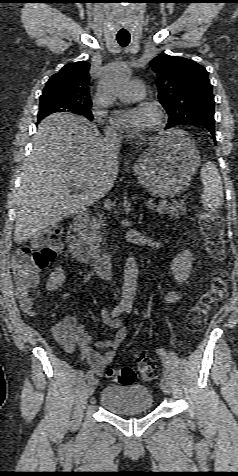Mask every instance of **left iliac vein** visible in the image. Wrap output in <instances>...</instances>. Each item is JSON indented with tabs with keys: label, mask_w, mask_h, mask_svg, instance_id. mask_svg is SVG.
Segmentation results:
<instances>
[{
	"label": "left iliac vein",
	"mask_w": 238,
	"mask_h": 476,
	"mask_svg": "<svg viewBox=\"0 0 238 476\" xmlns=\"http://www.w3.org/2000/svg\"><path fill=\"white\" fill-rule=\"evenodd\" d=\"M160 386L164 394L169 395L171 392L170 382L166 377H162L160 380Z\"/></svg>",
	"instance_id": "1"
}]
</instances>
